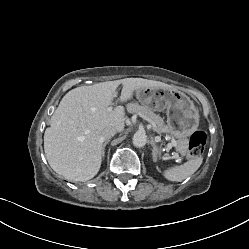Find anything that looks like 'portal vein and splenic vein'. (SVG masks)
<instances>
[{"label":"portal vein and splenic vein","instance_id":"18ae733b","mask_svg":"<svg viewBox=\"0 0 249 249\" xmlns=\"http://www.w3.org/2000/svg\"><path fill=\"white\" fill-rule=\"evenodd\" d=\"M139 115H140V117H142L144 120L150 122V120L147 119L146 117H144L143 115H141V114H139ZM176 146H177V142L173 139V140L171 141V147H176Z\"/></svg>","mask_w":249,"mask_h":249}]
</instances>
